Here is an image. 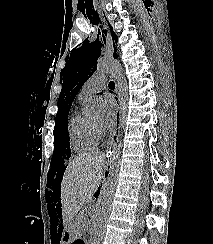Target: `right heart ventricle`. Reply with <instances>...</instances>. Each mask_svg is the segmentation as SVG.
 I'll list each match as a JSON object with an SVG mask.
<instances>
[{
	"instance_id": "e07e8e85",
	"label": "right heart ventricle",
	"mask_w": 213,
	"mask_h": 244,
	"mask_svg": "<svg viewBox=\"0 0 213 244\" xmlns=\"http://www.w3.org/2000/svg\"><path fill=\"white\" fill-rule=\"evenodd\" d=\"M79 100L83 98L79 97ZM69 141L72 149L77 152L91 151L97 148L99 134L93 122L74 111L68 123Z\"/></svg>"
}]
</instances>
